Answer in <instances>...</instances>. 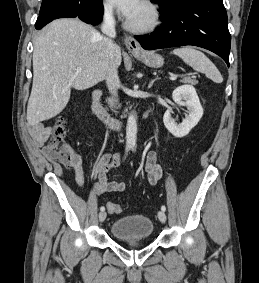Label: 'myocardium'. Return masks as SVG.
<instances>
[{
  "label": "myocardium",
  "mask_w": 259,
  "mask_h": 283,
  "mask_svg": "<svg viewBox=\"0 0 259 283\" xmlns=\"http://www.w3.org/2000/svg\"><path fill=\"white\" fill-rule=\"evenodd\" d=\"M142 4H144L149 10V21L144 25H135L130 22V20H126L125 22L126 29L136 34L152 32L161 24V13L158 6L151 0H143Z\"/></svg>",
  "instance_id": "1"
}]
</instances>
